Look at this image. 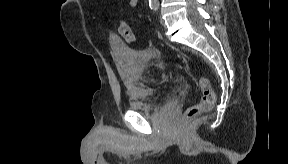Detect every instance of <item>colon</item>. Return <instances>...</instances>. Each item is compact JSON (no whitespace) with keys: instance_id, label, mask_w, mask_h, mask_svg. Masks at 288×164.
I'll use <instances>...</instances> for the list:
<instances>
[{"instance_id":"obj_1","label":"colon","mask_w":288,"mask_h":164,"mask_svg":"<svg viewBox=\"0 0 288 164\" xmlns=\"http://www.w3.org/2000/svg\"><path fill=\"white\" fill-rule=\"evenodd\" d=\"M118 31L126 42H133L132 31L126 22L121 21L119 23ZM198 89L200 92L199 102L188 109V118H194L204 112L210 111L215 104V92L207 78L200 77L198 79Z\"/></svg>"}]
</instances>
